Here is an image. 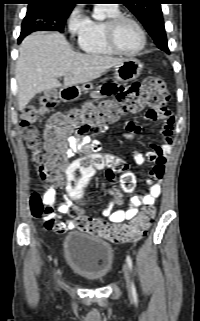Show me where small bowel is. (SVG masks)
<instances>
[{
	"mask_svg": "<svg viewBox=\"0 0 200 321\" xmlns=\"http://www.w3.org/2000/svg\"><path fill=\"white\" fill-rule=\"evenodd\" d=\"M122 85V86H121ZM142 89L141 83H131L122 82L117 80L116 82L101 83L99 89L100 97H110V100L115 98H122V96H127L131 98L133 93L137 90ZM145 119L151 122L161 121L163 123L161 134L163 138V143L158 145L152 143L151 151L146 154L139 152L133 153V159L137 165H143L144 163L153 164L149 170L148 179L146 182L147 193L139 196L132 195L129 198V207L126 210H113L111 205H107L102 214L114 224H120L124 221H129L133 219L137 213L140 206H152L158 196L161 193L160 181L165 172V165L167 155L171 151L172 146V133H173V117L166 108L155 110L149 109L145 114ZM127 133L125 136L127 138H132L140 130L139 125L133 122L126 123ZM107 128L104 129L106 131ZM68 152L67 157L72 156L74 153L81 152L84 154L98 153L101 149V142L98 139H92L88 135L80 136H69L67 138ZM108 158H113L112 155H106ZM116 172L113 168L107 167L106 176L109 180L114 181ZM65 181L60 180L54 182L43 194V203L52 208V211L45 214L43 217L44 227L48 231H53L58 234H64L69 230L76 228L75 221L61 222L58 221V214H67L75 207V201L80 198H65L62 196L61 202L57 206V213L54 212V206L58 198V191L63 188Z\"/></svg>",
	"mask_w": 200,
	"mask_h": 321,
	"instance_id": "c3829d8e",
	"label": "small bowel"
}]
</instances>
